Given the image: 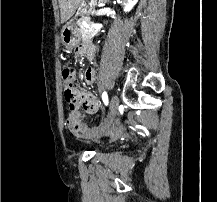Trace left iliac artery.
<instances>
[{
  "instance_id": "1",
  "label": "left iliac artery",
  "mask_w": 217,
  "mask_h": 202,
  "mask_svg": "<svg viewBox=\"0 0 217 202\" xmlns=\"http://www.w3.org/2000/svg\"><path fill=\"white\" fill-rule=\"evenodd\" d=\"M102 100H103L105 105H108V95H107L106 91H104L102 94Z\"/></svg>"
}]
</instances>
